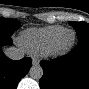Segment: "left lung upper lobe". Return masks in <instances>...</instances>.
I'll list each match as a JSON object with an SVG mask.
<instances>
[{
    "label": "left lung upper lobe",
    "mask_w": 89,
    "mask_h": 89,
    "mask_svg": "<svg viewBox=\"0 0 89 89\" xmlns=\"http://www.w3.org/2000/svg\"><path fill=\"white\" fill-rule=\"evenodd\" d=\"M70 25L76 30L78 39L89 38V24L86 22H69Z\"/></svg>",
    "instance_id": "left-lung-upper-lobe-1"
}]
</instances>
